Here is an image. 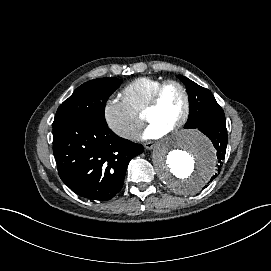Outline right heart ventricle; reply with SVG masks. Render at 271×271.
I'll list each match as a JSON object with an SVG mask.
<instances>
[{"label": "right heart ventricle", "instance_id": "1", "mask_svg": "<svg viewBox=\"0 0 271 271\" xmlns=\"http://www.w3.org/2000/svg\"><path fill=\"white\" fill-rule=\"evenodd\" d=\"M163 80L159 77L143 76L124 86L122 94L130 109L143 116L154 90Z\"/></svg>", "mask_w": 271, "mask_h": 271}]
</instances>
